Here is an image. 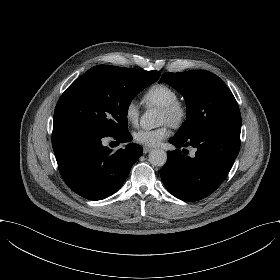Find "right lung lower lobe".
<instances>
[{"mask_svg": "<svg viewBox=\"0 0 280 280\" xmlns=\"http://www.w3.org/2000/svg\"><path fill=\"white\" fill-rule=\"evenodd\" d=\"M109 137L119 142L132 140L128 130ZM103 138L76 129L52 133L53 150L63 180L72 191L90 200L105 199L115 193L143 152L140 145L129 143L125 149L112 153L102 145Z\"/></svg>", "mask_w": 280, "mask_h": 280, "instance_id": "right-lung-lower-lobe-1", "label": "right lung lower lobe"}]
</instances>
